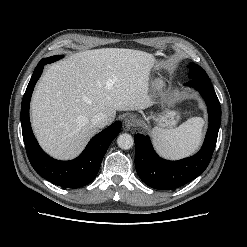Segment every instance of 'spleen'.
I'll return each mask as SVG.
<instances>
[{
    "instance_id": "3e777b00",
    "label": "spleen",
    "mask_w": 247,
    "mask_h": 247,
    "mask_svg": "<svg viewBox=\"0 0 247 247\" xmlns=\"http://www.w3.org/2000/svg\"><path fill=\"white\" fill-rule=\"evenodd\" d=\"M204 120L192 117L177 128L155 127L152 131L157 152L170 159H179L194 153L202 140Z\"/></svg>"
}]
</instances>
